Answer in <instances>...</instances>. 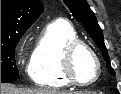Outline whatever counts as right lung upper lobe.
Returning a JSON list of instances; mask_svg holds the SVG:
<instances>
[{
  "instance_id": "1",
  "label": "right lung upper lobe",
  "mask_w": 121,
  "mask_h": 94,
  "mask_svg": "<svg viewBox=\"0 0 121 94\" xmlns=\"http://www.w3.org/2000/svg\"><path fill=\"white\" fill-rule=\"evenodd\" d=\"M43 9L40 0H1V34L28 29Z\"/></svg>"
}]
</instances>
